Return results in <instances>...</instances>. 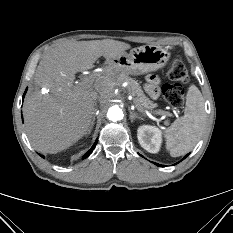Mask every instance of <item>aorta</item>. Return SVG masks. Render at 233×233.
<instances>
[{
	"label": "aorta",
	"instance_id": "aorta-1",
	"mask_svg": "<svg viewBox=\"0 0 233 233\" xmlns=\"http://www.w3.org/2000/svg\"><path fill=\"white\" fill-rule=\"evenodd\" d=\"M123 116H124V114H123L122 110L117 106H113V107L109 108L108 113H107L108 119L113 121V122L122 120Z\"/></svg>",
	"mask_w": 233,
	"mask_h": 233
}]
</instances>
